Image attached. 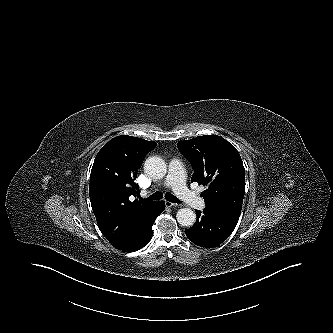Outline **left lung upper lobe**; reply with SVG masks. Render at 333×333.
I'll list each match as a JSON object with an SVG mask.
<instances>
[{"label":"left lung upper lobe","instance_id":"1","mask_svg":"<svg viewBox=\"0 0 333 333\" xmlns=\"http://www.w3.org/2000/svg\"><path fill=\"white\" fill-rule=\"evenodd\" d=\"M177 146L194 169L191 182L206 187L201 194L206 208L238 221L245 193V169L236 148L217 135L179 141Z\"/></svg>","mask_w":333,"mask_h":333}]
</instances>
